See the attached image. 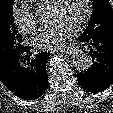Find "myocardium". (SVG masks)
Returning a JSON list of instances; mask_svg holds the SVG:
<instances>
[{"label": "myocardium", "mask_w": 113, "mask_h": 113, "mask_svg": "<svg viewBox=\"0 0 113 113\" xmlns=\"http://www.w3.org/2000/svg\"><path fill=\"white\" fill-rule=\"evenodd\" d=\"M63 0H53L50 4L49 7L56 9L62 2ZM85 1V13L83 17L80 19V21L77 23L75 28L77 30L81 29L84 25H86L91 18L92 15V1L91 0H84Z\"/></svg>", "instance_id": "obj_1"}]
</instances>
